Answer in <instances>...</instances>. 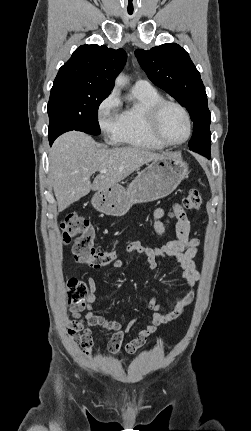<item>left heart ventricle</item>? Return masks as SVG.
Masks as SVG:
<instances>
[{
	"instance_id": "left-heart-ventricle-1",
	"label": "left heart ventricle",
	"mask_w": 251,
	"mask_h": 431,
	"mask_svg": "<svg viewBox=\"0 0 251 431\" xmlns=\"http://www.w3.org/2000/svg\"><path fill=\"white\" fill-rule=\"evenodd\" d=\"M159 129L162 136L170 142L182 140L187 131L184 115L174 106L165 107L159 119Z\"/></svg>"
}]
</instances>
